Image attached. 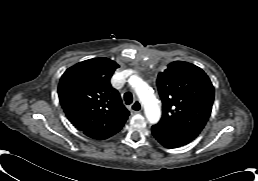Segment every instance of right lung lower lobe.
<instances>
[{
	"label": "right lung lower lobe",
	"mask_w": 258,
	"mask_h": 181,
	"mask_svg": "<svg viewBox=\"0 0 258 181\" xmlns=\"http://www.w3.org/2000/svg\"><path fill=\"white\" fill-rule=\"evenodd\" d=\"M123 125L124 124L112 125L105 129L95 130L86 135L91 138H95V139H106V138L116 134L122 128Z\"/></svg>",
	"instance_id": "right-lung-lower-lobe-1"
}]
</instances>
